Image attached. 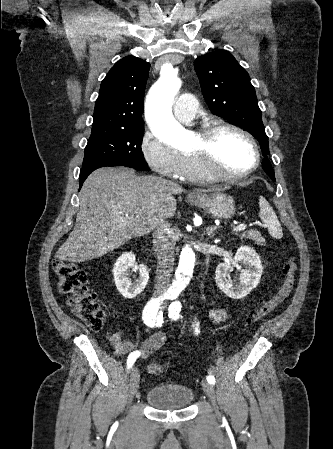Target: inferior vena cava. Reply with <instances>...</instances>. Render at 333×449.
Returning a JSON list of instances; mask_svg holds the SVG:
<instances>
[{"instance_id": "inferior-vena-cava-1", "label": "inferior vena cava", "mask_w": 333, "mask_h": 449, "mask_svg": "<svg viewBox=\"0 0 333 449\" xmlns=\"http://www.w3.org/2000/svg\"><path fill=\"white\" fill-rule=\"evenodd\" d=\"M153 233V244L157 252L154 295H161L169 286L174 265V232L168 221H157Z\"/></svg>"}]
</instances>
